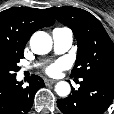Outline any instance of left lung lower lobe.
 <instances>
[{
    "label": "left lung lower lobe",
    "mask_w": 114,
    "mask_h": 114,
    "mask_svg": "<svg viewBox=\"0 0 114 114\" xmlns=\"http://www.w3.org/2000/svg\"><path fill=\"white\" fill-rule=\"evenodd\" d=\"M114 98V81L84 77L79 90L65 99H58V108L64 114H103Z\"/></svg>",
    "instance_id": "left-lung-lower-lobe-1"
}]
</instances>
